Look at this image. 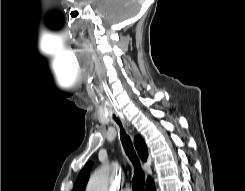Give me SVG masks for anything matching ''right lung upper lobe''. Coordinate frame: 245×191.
Returning a JSON list of instances; mask_svg holds the SVG:
<instances>
[{
  "label": "right lung upper lobe",
  "mask_w": 245,
  "mask_h": 191,
  "mask_svg": "<svg viewBox=\"0 0 245 191\" xmlns=\"http://www.w3.org/2000/svg\"><path fill=\"white\" fill-rule=\"evenodd\" d=\"M135 147L138 151L140 158L143 161H146L148 157V150H147V146L145 142L143 141L142 137L140 136L135 137ZM90 167H91V163H87L85 167L81 170V172L79 173L76 179L73 191H84L85 190L86 184L89 179ZM149 179L150 178H148L147 180Z\"/></svg>",
  "instance_id": "right-lung-upper-lobe-1"
}]
</instances>
